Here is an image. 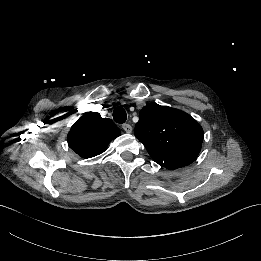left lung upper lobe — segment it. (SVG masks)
<instances>
[{"label": "left lung upper lobe", "mask_w": 261, "mask_h": 261, "mask_svg": "<svg viewBox=\"0 0 261 261\" xmlns=\"http://www.w3.org/2000/svg\"><path fill=\"white\" fill-rule=\"evenodd\" d=\"M134 134L152 159L170 170L191 164L203 142V130L189 114L156 103L140 111Z\"/></svg>", "instance_id": "obj_1"}]
</instances>
